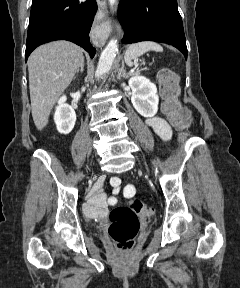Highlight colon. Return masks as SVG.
I'll return each instance as SVG.
<instances>
[{"instance_id":"5ec220e1","label":"colon","mask_w":240,"mask_h":288,"mask_svg":"<svg viewBox=\"0 0 240 288\" xmlns=\"http://www.w3.org/2000/svg\"><path fill=\"white\" fill-rule=\"evenodd\" d=\"M160 92L163 98L162 110L171 123L180 130L190 126V112L178 101V79L168 69L160 73ZM153 214V209L138 199H133L128 206L116 207L110 213L109 235L117 248L128 251L134 246L140 228V218Z\"/></svg>"}]
</instances>
